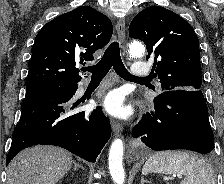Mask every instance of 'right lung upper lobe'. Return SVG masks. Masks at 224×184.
<instances>
[{
  "label": "right lung upper lobe",
  "mask_w": 224,
  "mask_h": 184,
  "mask_svg": "<svg viewBox=\"0 0 224 184\" xmlns=\"http://www.w3.org/2000/svg\"><path fill=\"white\" fill-rule=\"evenodd\" d=\"M111 36V21L92 7L81 6L56 17L35 38L26 86L79 82L76 63L93 60V53Z\"/></svg>",
  "instance_id": "1"
}]
</instances>
